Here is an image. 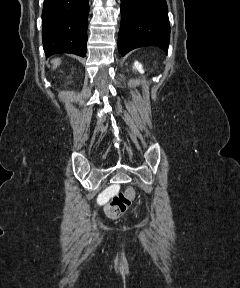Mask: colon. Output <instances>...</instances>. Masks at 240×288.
Masks as SVG:
<instances>
[{"instance_id":"1","label":"colon","mask_w":240,"mask_h":288,"mask_svg":"<svg viewBox=\"0 0 240 288\" xmlns=\"http://www.w3.org/2000/svg\"><path fill=\"white\" fill-rule=\"evenodd\" d=\"M135 198V190L128 187L124 191L115 195L106 205L105 213L110 219H117L123 215Z\"/></svg>"}]
</instances>
